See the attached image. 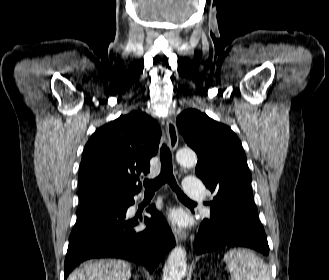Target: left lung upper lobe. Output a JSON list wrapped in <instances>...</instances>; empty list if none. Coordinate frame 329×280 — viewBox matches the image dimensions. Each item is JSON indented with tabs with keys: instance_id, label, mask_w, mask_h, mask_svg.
Segmentation results:
<instances>
[{
	"instance_id": "1",
	"label": "left lung upper lobe",
	"mask_w": 329,
	"mask_h": 280,
	"mask_svg": "<svg viewBox=\"0 0 329 280\" xmlns=\"http://www.w3.org/2000/svg\"><path fill=\"white\" fill-rule=\"evenodd\" d=\"M186 143L196 151L197 176L216 196L209 204L218 207L235 196L250 195L252 181L240 140L227 126L196 109L183 111L176 120Z\"/></svg>"
}]
</instances>
